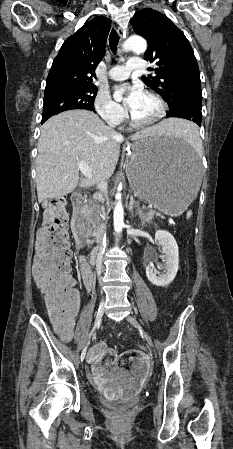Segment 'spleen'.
I'll return each instance as SVG.
<instances>
[{
    "label": "spleen",
    "mask_w": 233,
    "mask_h": 449,
    "mask_svg": "<svg viewBox=\"0 0 233 449\" xmlns=\"http://www.w3.org/2000/svg\"><path fill=\"white\" fill-rule=\"evenodd\" d=\"M172 138H177L178 142H189L196 146L199 143L197 135V124L195 125H178V131L173 134ZM192 215V211H187L186 218L189 219Z\"/></svg>",
    "instance_id": "spleen-1"
}]
</instances>
